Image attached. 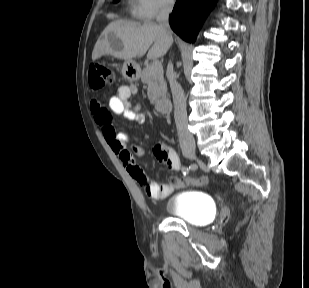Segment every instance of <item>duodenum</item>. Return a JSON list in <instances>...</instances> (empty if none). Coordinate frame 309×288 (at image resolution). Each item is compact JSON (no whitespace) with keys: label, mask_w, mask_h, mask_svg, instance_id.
I'll use <instances>...</instances> for the list:
<instances>
[{"label":"duodenum","mask_w":309,"mask_h":288,"mask_svg":"<svg viewBox=\"0 0 309 288\" xmlns=\"http://www.w3.org/2000/svg\"><path fill=\"white\" fill-rule=\"evenodd\" d=\"M157 104L159 111L163 114H167L171 109V103L166 98L160 99Z\"/></svg>","instance_id":"duodenum-1"}]
</instances>
